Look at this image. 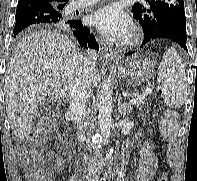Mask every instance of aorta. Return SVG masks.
<instances>
[{"label": "aorta", "instance_id": "1", "mask_svg": "<svg viewBox=\"0 0 197 181\" xmlns=\"http://www.w3.org/2000/svg\"><path fill=\"white\" fill-rule=\"evenodd\" d=\"M98 124L105 142L109 141L112 126V88L109 80H104L99 93ZM105 181V179H103Z\"/></svg>", "mask_w": 197, "mask_h": 181}]
</instances>
